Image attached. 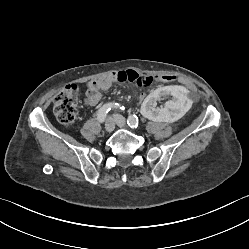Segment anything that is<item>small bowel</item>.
<instances>
[{
  "instance_id": "small-bowel-1",
  "label": "small bowel",
  "mask_w": 249,
  "mask_h": 249,
  "mask_svg": "<svg viewBox=\"0 0 249 249\" xmlns=\"http://www.w3.org/2000/svg\"><path fill=\"white\" fill-rule=\"evenodd\" d=\"M139 78L138 71L128 70L111 72L100 79L92 80L86 85L85 105L88 107L97 105L102 97L101 92L108 91L117 82H131Z\"/></svg>"
}]
</instances>
